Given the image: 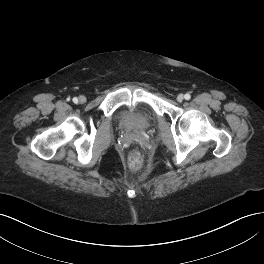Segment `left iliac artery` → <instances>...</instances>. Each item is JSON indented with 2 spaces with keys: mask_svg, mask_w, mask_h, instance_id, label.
<instances>
[{
  "mask_svg": "<svg viewBox=\"0 0 264 264\" xmlns=\"http://www.w3.org/2000/svg\"><path fill=\"white\" fill-rule=\"evenodd\" d=\"M184 98H185L186 100H189V99L191 98V95L187 93V94H185Z\"/></svg>",
  "mask_w": 264,
  "mask_h": 264,
  "instance_id": "1",
  "label": "left iliac artery"
}]
</instances>
